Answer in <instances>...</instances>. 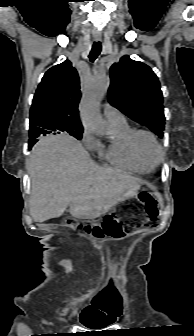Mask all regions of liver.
Instances as JSON below:
<instances>
[{"instance_id": "1", "label": "liver", "mask_w": 194, "mask_h": 336, "mask_svg": "<svg viewBox=\"0 0 194 336\" xmlns=\"http://www.w3.org/2000/svg\"><path fill=\"white\" fill-rule=\"evenodd\" d=\"M30 215L35 222L60 217L66 208L78 219H95L140 189V179L97 165L75 139L41 138L28 163Z\"/></svg>"}]
</instances>
